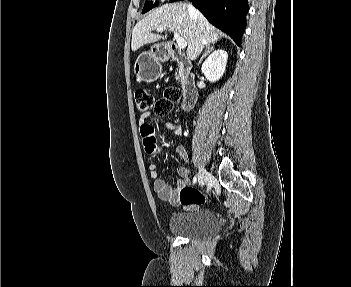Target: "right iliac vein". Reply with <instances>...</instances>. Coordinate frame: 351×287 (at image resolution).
Returning <instances> with one entry per match:
<instances>
[{"label":"right iliac vein","instance_id":"63e3f726","mask_svg":"<svg viewBox=\"0 0 351 287\" xmlns=\"http://www.w3.org/2000/svg\"><path fill=\"white\" fill-rule=\"evenodd\" d=\"M207 178H208V172L204 167L201 166L199 170V175H198V181L201 187L205 185Z\"/></svg>","mask_w":351,"mask_h":287}]
</instances>
